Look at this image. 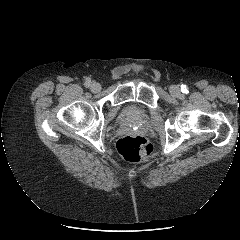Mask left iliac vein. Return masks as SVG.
<instances>
[{
  "label": "left iliac vein",
  "instance_id": "obj_1",
  "mask_svg": "<svg viewBox=\"0 0 240 240\" xmlns=\"http://www.w3.org/2000/svg\"><path fill=\"white\" fill-rule=\"evenodd\" d=\"M170 93L174 97H180L182 95L180 88L176 85L170 87Z\"/></svg>",
  "mask_w": 240,
  "mask_h": 240
}]
</instances>
